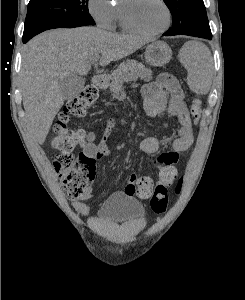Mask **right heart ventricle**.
Wrapping results in <instances>:
<instances>
[{
	"label": "right heart ventricle",
	"mask_w": 245,
	"mask_h": 300,
	"mask_svg": "<svg viewBox=\"0 0 245 300\" xmlns=\"http://www.w3.org/2000/svg\"><path fill=\"white\" fill-rule=\"evenodd\" d=\"M118 18L120 19V10L118 11Z\"/></svg>",
	"instance_id": "right-heart-ventricle-1"
}]
</instances>
